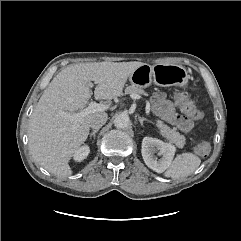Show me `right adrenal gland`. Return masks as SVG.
Here are the masks:
<instances>
[{
    "mask_svg": "<svg viewBox=\"0 0 241 241\" xmlns=\"http://www.w3.org/2000/svg\"><path fill=\"white\" fill-rule=\"evenodd\" d=\"M98 131H99V129L93 130V132H91V133L89 134V137H90V138L93 137V138L95 139L96 133H97Z\"/></svg>",
    "mask_w": 241,
    "mask_h": 241,
    "instance_id": "2a0ac1e0",
    "label": "right adrenal gland"
}]
</instances>
